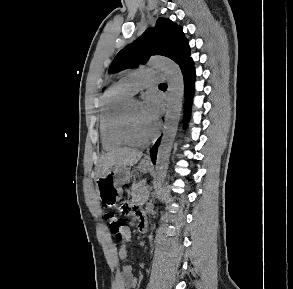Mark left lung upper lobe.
<instances>
[{"label":"left lung upper lobe","instance_id":"obj_1","mask_svg":"<svg viewBox=\"0 0 293 289\" xmlns=\"http://www.w3.org/2000/svg\"><path fill=\"white\" fill-rule=\"evenodd\" d=\"M151 55H163L180 67L190 59V48L182 27L166 18H159L154 28L124 47L114 58L109 72L144 64Z\"/></svg>","mask_w":293,"mask_h":289}]
</instances>
